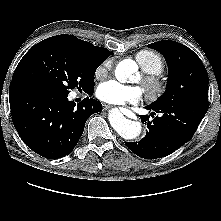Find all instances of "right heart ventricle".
I'll list each match as a JSON object with an SVG mask.
<instances>
[{"label": "right heart ventricle", "mask_w": 221, "mask_h": 221, "mask_svg": "<svg viewBox=\"0 0 221 221\" xmlns=\"http://www.w3.org/2000/svg\"><path fill=\"white\" fill-rule=\"evenodd\" d=\"M135 59L146 73L160 74L164 69L162 58L153 51L141 50L136 53Z\"/></svg>", "instance_id": "1"}]
</instances>
